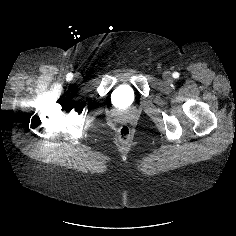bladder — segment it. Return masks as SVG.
<instances>
[{"mask_svg": "<svg viewBox=\"0 0 236 236\" xmlns=\"http://www.w3.org/2000/svg\"><path fill=\"white\" fill-rule=\"evenodd\" d=\"M113 104L119 111H127L133 104V95L127 89L119 88L113 95Z\"/></svg>", "mask_w": 236, "mask_h": 236, "instance_id": "obj_1", "label": "bladder"}]
</instances>
